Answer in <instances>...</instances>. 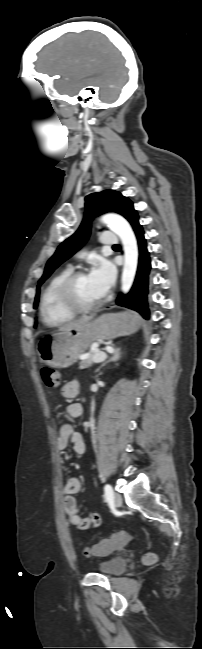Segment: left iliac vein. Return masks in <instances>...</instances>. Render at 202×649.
Listing matches in <instances>:
<instances>
[{
    "mask_svg": "<svg viewBox=\"0 0 202 649\" xmlns=\"http://www.w3.org/2000/svg\"><path fill=\"white\" fill-rule=\"evenodd\" d=\"M113 502L117 507L122 506V496L119 493L113 494Z\"/></svg>",
    "mask_w": 202,
    "mask_h": 649,
    "instance_id": "obj_1",
    "label": "left iliac vein"
}]
</instances>
